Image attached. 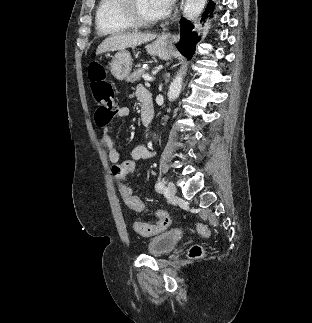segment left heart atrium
<instances>
[{"label": "left heart atrium", "mask_w": 312, "mask_h": 323, "mask_svg": "<svg viewBox=\"0 0 312 323\" xmlns=\"http://www.w3.org/2000/svg\"><path fill=\"white\" fill-rule=\"evenodd\" d=\"M157 5H153V12H173L177 7V0H156Z\"/></svg>", "instance_id": "39dd6f15"}]
</instances>
